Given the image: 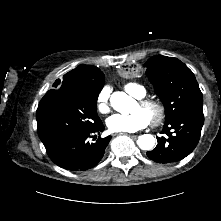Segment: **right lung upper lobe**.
<instances>
[{
	"mask_svg": "<svg viewBox=\"0 0 221 221\" xmlns=\"http://www.w3.org/2000/svg\"><path fill=\"white\" fill-rule=\"evenodd\" d=\"M104 84V74L95 66L80 65L63 77V81L56 80L57 89L49 90L48 94L68 95L85 93L92 87L101 88Z\"/></svg>",
	"mask_w": 221,
	"mask_h": 221,
	"instance_id": "obj_1",
	"label": "right lung upper lobe"
}]
</instances>
